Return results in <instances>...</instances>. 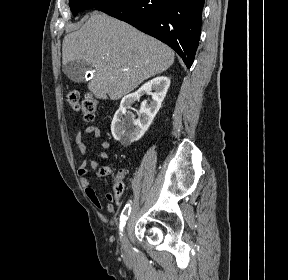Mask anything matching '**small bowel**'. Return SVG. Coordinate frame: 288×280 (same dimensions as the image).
<instances>
[{"label": "small bowel", "instance_id": "1", "mask_svg": "<svg viewBox=\"0 0 288 280\" xmlns=\"http://www.w3.org/2000/svg\"><path fill=\"white\" fill-rule=\"evenodd\" d=\"M90 134H92L96 139L101 138V130L97 126H88L85 130H78L75 135V142L77 148L82 155H85L87 153V145L84 137ZM99 145L102 148V151L99 152L97 156L103 160H107L109 158V155L105 150L108 149L110 146L109 141L106 139H101ZM90 167L93 169H98L99 165L95 160H84L78 167L77 174L79 176L80 184L84 189L86 196L95 207L99 209H105L107 212H112L114 210V205L112 202L118 197V195L107 193L106 198L108 200V203L104 204L87 178ZM125 173L126 170H121L119 172V177L123 179ZM95 175L99 176L100 174L95 173Z\"/></svg>", "mask_w": 288, "mask_h": 280}]
</instances>
